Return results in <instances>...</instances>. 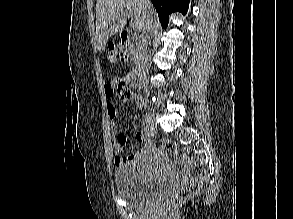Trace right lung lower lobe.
<instances>
[{
	"mask_svg": "<svg viewBox=\"0 0 293 219\" xmlns=\"http://www.w3.org/2000/svg\"><path fill=\"white\" fill-rule=\"evenodd\" d=\"M159 16L162 27L166 28L169 14L175 11L186 14L189 0H151Z\"/></svg>",
	"mask_w": 293,
	"mask_h": 219,
	"instance_id": "right-lung-lower-lobe-1",
	"label": "right lung lower lobe"
}]
</instances>
